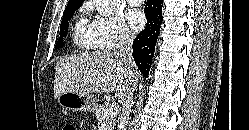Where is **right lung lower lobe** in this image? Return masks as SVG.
Wrapping results in <instances>:
<instances>
[{
	"mask_svg": "<svg viewBox=\"0 0 249 130\" xmlns=\"http://www.w3.org/2000/svg\"><path fill=\"white\" fill-rule=\"evenodd\" d=\"M161 10V0H147L144 10L147 18L146 28L137 35L133 42V58L144 77H148L151 68V60L162 22Z\"/></svg>",
	"mask_w": 249,
	"mask_h": 130,
	"instance_id": "obj_1",
	"label": "right lung lower lobe"
}]
</instances>
